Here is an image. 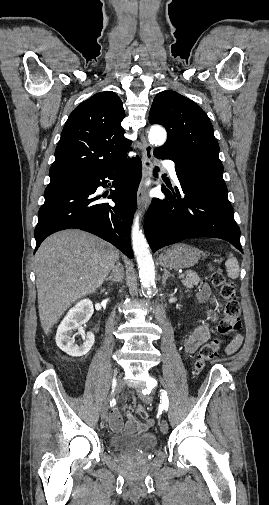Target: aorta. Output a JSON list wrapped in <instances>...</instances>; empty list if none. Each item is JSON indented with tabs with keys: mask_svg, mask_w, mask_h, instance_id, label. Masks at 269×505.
Masks as SVG:
<instances>
[{
	"mask_svg": "<svg viewBox=\"0 0 269 505\" xmlns=\"http://www.w3.org/2000/svg\"><path fill=\"white\" fill-rule=\"evenodd\" d=\"M148 139L152 144L161 146L167 139L166 130L159 125H154L149 130ZM139 225V214L137 213L134 217L131 231L132 246L139 268L142 288L146 290L147 294H151L152 288L155 285V266L149 245Z\"/></svg>",
	"mask_w": 269,
	"mask_h": 505,
	"instance_id": "aorta-1",
	"label": "aorta"
}]
</instances>
